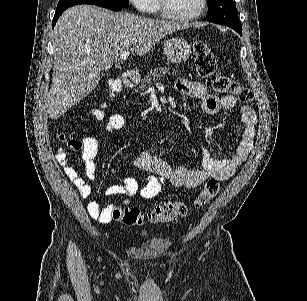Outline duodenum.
I'll return each mask as SVG.
<instances>
[{
	"label": "duodenum",
	"instance_id": "1",
	"mask_svg": "<svg viewBox=\"0 0 307 301\" xmlns=\"http://www.w3.org/2000/svg\"><path fill=\"white\" fill-rule=\"evenodd\" d=\"M123 81L126 86H133L136 83V77L132 73H125Z\"/></svg>",
	"mask_w": 307,
	"mask_h": 301
}]
</instances>
